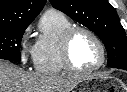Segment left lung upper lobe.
Here are the masks:
<instances>
[{"label":"left lung upper lobe","mask_w":127,"mask_h":92,"mask_svg":"<svg viewBox=\"0 0 127 92\" xmlns=\"http://www.w3.org/2000/svg\"><path fill=\"white\" fill-rule=\"evenodd\" d=\"M52 6L95 32L108 53V66L127 64V37L108 0H50Z\"/></svg>","instance_id":"left-lung-upper-lobe-1"}]
</instances>
